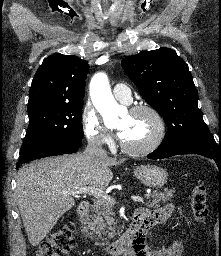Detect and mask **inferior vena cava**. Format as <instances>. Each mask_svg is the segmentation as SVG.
Masks as SVG:
<instances>
[{
    "label": "inferior vena cava",
    "mask_w": 221,
    "mask_h": 256,
    "mask_svg": "<svg viewBox=\"0 0 221 256\" xmlns=\"http://www.w3.org/2000/svg\"><path fill=\"white\" fill-rule=\"evenodd\" d=\"M84 155L87 158L97 161L107 158V153L105 149L102 148L100 139L98 137H91L88 139V145Z\"/></svg>",
    "instance_id": "obj_1"
}]
</instances>
